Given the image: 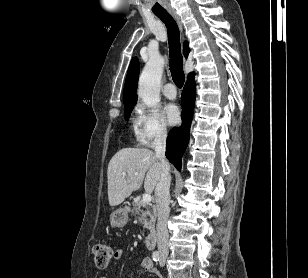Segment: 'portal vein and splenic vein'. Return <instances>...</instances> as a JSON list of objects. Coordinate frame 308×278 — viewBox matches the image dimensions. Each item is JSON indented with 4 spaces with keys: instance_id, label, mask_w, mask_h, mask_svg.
Returning a JSON list of instances; mask_svg holds the SVG:
<instances>
[{
    "instance_id": "obj_1",
    "label": "portal vein and splenic vein",
    "mask_w": 308,
    "mask_h": 278,
    "mask_svg": "<svg viewBox=\"0 0 308 278\" xmlns=\"http://www.w3.org/2000/svg\"><path fill=\"white\" fill-rule=\"evenodd\" d=\"M123 175H125V172H123ZM142 200L145 203H150L151 200H152L151 194L150 193H144L143 196H142Z\"/></svg>"
}]
</instances>
